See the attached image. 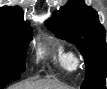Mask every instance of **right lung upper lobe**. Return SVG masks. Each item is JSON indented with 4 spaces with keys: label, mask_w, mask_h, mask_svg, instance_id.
Here are the masks:
<instances>
[{
    "label": "right lung upper lobe",
    "mask_w": 107,
    "mask_h": 89,
    "mask_svg": "<svg viewBox=\"0 0 107 89\" xmlns=\"http://www.w3.org/2000/svg\"><path fill=\"white\" fill-rule=\"evenodd\" d=\"M0 25H12L19 28H30L29 22L23 19V13L19 7L4 6L0 8Z\"/></svg>",
    "instance_id": "cb5924a9"
}]
</instances>
